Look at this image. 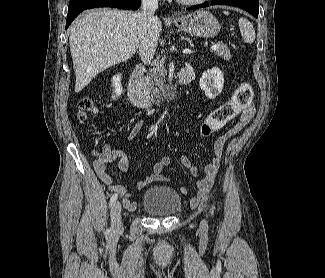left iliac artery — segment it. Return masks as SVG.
<instances>
[{"label": "left iliac artery", "mask_w": 325, "mask_h": 278, "mask_svg": "<svg viewBox=\"0 0 325 278\" xmlns=\"http://www.w3.org/2000/svg\"><path fill=\"white\" fill-rule=\"evenodd\" d=\"M213 209H214V208L212 207V209H211V210H212V213H213Z\"/></svg>", "instance_id": "left-iliac-artery-1"}]
</instances>
